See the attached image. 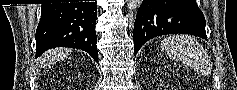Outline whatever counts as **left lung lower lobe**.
Masks as SVG:
<instances>
[{"label":"left lung lower lobe","mask_w":237,"mask_h":90,"mask_svg":"<svg viewBox=\"0 0 237 90\" xmlns=\"http://www.w3.org/2000/svg\"><path fill=\"white\" fill-rule=\"evenodd\" d=\"M205 18L196 0H143L134 23V52L156 36L186 33L207 40Z\"/></svg>","instance_id":"left-lung-lower-lobe-1"}]
</instances>
